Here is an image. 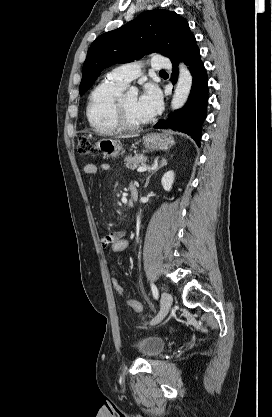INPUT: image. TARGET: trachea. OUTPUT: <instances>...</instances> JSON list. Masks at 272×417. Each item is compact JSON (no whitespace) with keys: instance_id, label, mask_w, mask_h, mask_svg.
<instances>
[{"instance_id":"1","label":"trachea","mask_w":272,"mask_h":417,"mask_svg":"<svg viewBox=\"0 0 272 417\" xmlns=\"http://www.w3.org/2000/svg\"><path fill=\"white\" fill-rule=\"evenodd\" d=\"M160 73H166V71L165 70H161Z\"/></svg>"}]
</instances>
